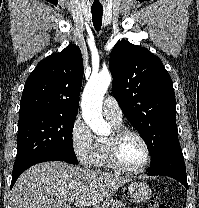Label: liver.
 <instances>
[{
	"mask_svg": "<svg viewBox=\"0 0 199 208\" xmlns=\"http://www.w3.org/2000/svg\"><path fill=\"white\" fill-rule=\"evenodd\" d=\"M130 178L75 167L64 162H44L27 169L12 190L13 208H79L96 205L115 193Z\"/></svg>",
	"mask_w": 199,
	"mask_h": 208,
	"instance_id": "6515ba94",
	"label": "liver"
}]
</instances>
